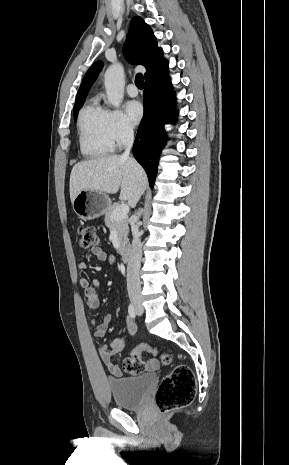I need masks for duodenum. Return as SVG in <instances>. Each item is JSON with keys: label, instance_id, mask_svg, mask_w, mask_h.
<instances>
[{"label": "duodenum", "instance_id": "obj_1", "mask_svg": "<svg viewBox=\"0 0 289 465\" xmlns=\"http://www.w3.org/2000/svg\"><path fill=\"white\" fill-rule=\"evenodd\" d=\"M120 256L124 263H128L130 260V249L128 247H123Z\"/></svg>", "mask_w": 289, "mask_h": 465}]
</instances>
